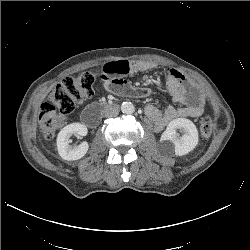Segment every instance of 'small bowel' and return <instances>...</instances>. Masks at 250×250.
Returning <instances> with one entry per match:
<instances>
[{
  "mask_svg": "<svg viewBox=\"0 0 250 250\" xmlns=\"http://www.w3.org/2000/svg\"><path fill=\"white\" fill-rule=\"evenodd\" d=\"M151 68L152 65L146 62L112 61L103 66L100 78L104 86L115 94L141 98L148 96L151 90L130 86L124 77ZM165 88L173 102L180 106L171 105L163 111L154 105L146 106V121L155 131H162L168 123L175 119L202 115L205 103L204 97L197 86L189 82L183 73L175 69H169Z\"/></svg>",
  "mask_w": 250,
  "mask_h": 250,
  "instance_id": "1",
  "label": "small bowel"
}]
</instances>
